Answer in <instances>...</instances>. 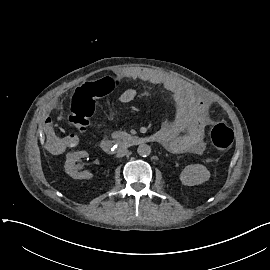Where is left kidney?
I'll list each match as a JSON object with an SVG mask.
<instances>
[{
	"mask_svg": "<svg viewBox=\"0 0 270 270\" xmlns=\"http://www.w3.org/2000/svg\"><path fill=\"white\" fill-rule=\"evenodd\" d=\"M192 173H195V175ZM179 177L182 185L195 186L208 181L211 173L203 164H190L183 169Z\"/></svg>",
	"mask_w": 270,
	"mask_h": 270,
	"instance_id": "1",
	"label": "left kidney"
}]
</instances>
